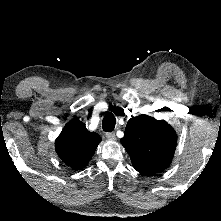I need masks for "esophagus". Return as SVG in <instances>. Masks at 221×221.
Wrapping results in <instances>:
<instances>
[{
    "label": "esophagus",
    "mask_w": 221,
    "mask_h": 221,
    "mask_svg": "<svg viewBox=\"0 0 221 221\" xmlns=\"http://www.w3.org/2000/svg\"><path fill=\"white\" fill-rule=\"evenodd\" d=\"M106 138H107L108 140L114 141V140L116 139V135H115L114 132H107V133H106Z\"/></svg>",
    "instance_id": "obj_1"
}]
</instances>
